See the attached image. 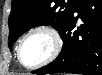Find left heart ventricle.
Wrapping results in <instances>:
<instances>
[{"label": "left heart ventricle", "instance_id": "obj_1", "mask_svg": "<svg viewBox=\"0 0 102 75\" xmlns=\"http://www.w3.org/2000/svg\"><path fill=\"white\" fill-rule=\"evenodd\" d=\"M53 49V41L45 32H36L30 35L22 46V60L30 64L34 60L45 59Z\"/></svg>", "mask_w": 102, "mask_h": 75}]
</instances>
